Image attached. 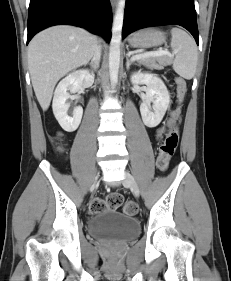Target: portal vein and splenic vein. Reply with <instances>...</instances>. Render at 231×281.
Segmentation results:
<instances>
[{"label": "portal vein and splenic vein", "mask_w": 231, "mask_h": 281, "mask_svg": "<svg viewBox=\"0 0 231 281\" xmlns=\"http://www.w3.org/2000/svg\"><path fill=\"white\" fill-rule=\"evenodd\" d=\"M162 55L173 56L174 54H171L168 50L159 49L157 51H151V52L134 55L131 57V61H136V60L144 59V58L151 57V56H162Z\"/></svg>", "instance_id": "1"}]
</instances>
